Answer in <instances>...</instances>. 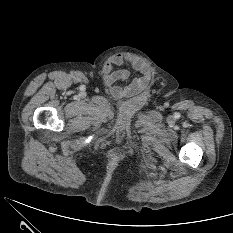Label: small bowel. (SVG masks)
<instances>
[{"mask_svg": "<svg viewBox=\"0 0 233 233\" xmlns=\"http://www.w3.org/2000/svg\"><path fill=\"white\" fill-rule=\"evenodd\" d=\"M130 65L139 73V76L125 86L117 85L130 76L129 70L117 69V66ZM103 82L109 88L111 95L115 98L133 97L141 93L151 79V72L146 63L135 55L114 54L110 56L102 67Z\"/></svg>", "mask_w": 233, "mask_h": 233, "instance_id": "c3829d8e", "label": "small bowel"}]
</instances>
